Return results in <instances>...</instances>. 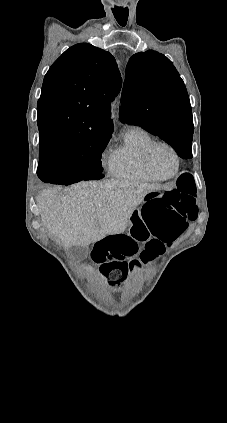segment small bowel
I'll return each mask as SVG.
<instances>
[{"label": "small bowel", "instance_id": "1", "mask_svg": "<svg viewBox=\"0 0 227 423\" xmlns=\"http://www.w3.org/2000/svg\"><path fill=\"white\" fill-rule=\"evenodd\" d=\"M134 222H136V223H138V224H140L144 229H146V231H147V236H146V240L145 241H143V242H148V241H157V243H159V246H160V249H161V251L163 252L164 251V249H165V244L164 243H162L161 241H159L156 237H154L153 235H151L150 234V232H149V230H148V228H147V226H146V223L144 222V220L141 218V217H138ZM159 241V242H158ZM100 270H101V268H100Z\"/></svg>", "mask_w": 227, "mask_h": 423}]
</instances>
